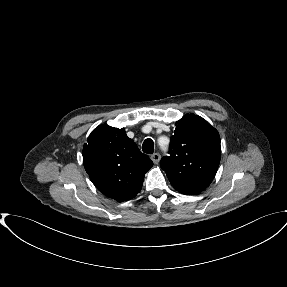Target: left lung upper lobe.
Here are the masks:
<instances>
[{"label":"left lung upper lobe","instance_id":"5c2ea615","mask_svg":"<svg viewBox=\"0 0 287 287\" xmlns=\"http://www.w3.org/2000/svg\"><path fill=\"white\" fill-rule=\"evenodd\" d=\"M169 154L160 161L171 185L180 193L198 194L212 182L221 158L220 136L206 120L186 114L176 122Z\"/></svg>","mask_w":287,"mask_h":287}]
</instances>
